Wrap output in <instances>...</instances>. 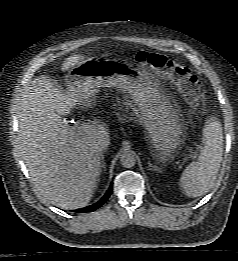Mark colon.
Segmentation results:
<instances>
[{
    "label": "colon",
    "instance_id": "1",
    "mask_svg": "<svg viewBox=\"0 0 238 261\" xmlns=\"http://www.w3.org/2000/svg\"><path fill=\"white\" fill-rule=\"evenodd\" d=\"M133 59L158 71L171 81L195 110L202 111L205 108L201 81L189 67L164 55L144 50L135 53Z\"/></svg>",
    "mask_w": 238,
    "mask_h": 261
}]
</instances>
